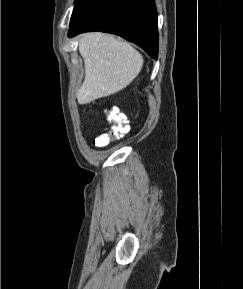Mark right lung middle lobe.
Returning <instances> with one entry per match:
<instances>
[{
    "instance_id": "1",
    "label": "right lung middle lobe",
    "mask_w": 243,
    "mask_h": 289,
    "mask_svg": "<svg viewBox=\"0 0 243 289\" xmlns=\"http://www.w3.org/2000/svg\"><path fill=\"white\" fill-rule=\"evenodd\" d=\"M80 2L81 0H76L74 10L76 9V7L79 5Z\"/></svg>"
}]
</instances>
